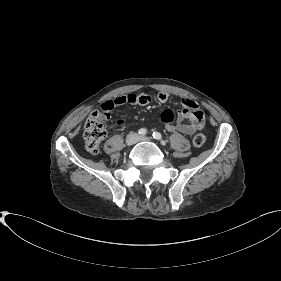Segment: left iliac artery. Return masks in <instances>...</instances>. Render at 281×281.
Listing matches in <instances>:
<instances>
[{
  "label": "left iliac artery",
  "instance_id": "44dca946",
  "mask_svg": "<svg viewBox=\"0 0 281 281\" xmlns=\"http://www.w3.org/2000/svg\"><path fill=\"white\" fill-rule=\"evenodd\" d=\"M152 136L156 140H160L162 138V135L159 132H153Z\"/></svg>",
  "mask_w": 281,
  "mask_h": 281
}]
</instances>
